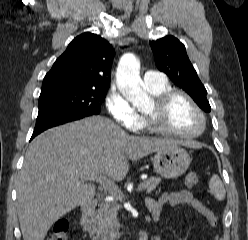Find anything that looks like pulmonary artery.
Returning a JSON list of instances; mask_svg holds the SVG:
<instances>
[{"mask_svg":"<svg viewBox=\"0 0 248 240\" xmlns=\"http://www.w3.org/2000/svg\"><path fill=\"white\" fill-rule=\"evenodd\" d=\"M166 78L163 73L154 70H146L143 73V82L145 85H156L166 82Z\"/></svg>","mask_w":248,"mask_h":240,"instance_id":"e3ab8cb5","label":"pulmonary artery"}]
</instances>
